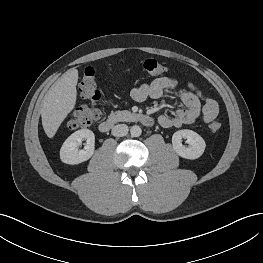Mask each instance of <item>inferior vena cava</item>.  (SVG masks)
Wrapping results in <instances>:
<instances>
[{
	"instance_id": "obj_1",
	"label": "inferior vena cava",
	"mask_w": 263,
	"mask_h": 263,
	"mask_svg": "<svg viewBox=\"0 0 263 263\" xmlns=\"http://www.w3.org/2000/svg\"><path fill=\"white\" fill-rule=\"evenodd\" d=\"M129 129L126 124H118L112 128V135L116 137H123L127 135Z\"/></svg>"
}]
</instances>
